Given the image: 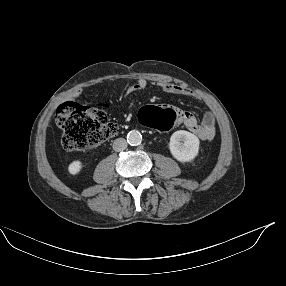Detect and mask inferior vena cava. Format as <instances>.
Instances as JSON below:
<instances>
[{"mask_svg":"<svg viewBox=\"0 0 286 286\" xmlns=\"http://www.w3.org/2000/svg\"><path fill=\"white\" fill-rule=\"evenodd\" d=\"M127 148V142L124 138H118L113 142V149L116 152L123 151Z\"/></svg>","mask_w":286,"mask_h":286,"instance_id":"obj_1","label":"inferior vena cava"}]
</instances>
